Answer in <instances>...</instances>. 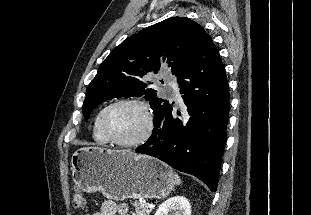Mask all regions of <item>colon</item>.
<instances>
[{
    "instance_id": "1",
    "label": "colon",
    "mask_w": 311,
    "mask_h": 215,
    "mask_svg": "<svg viewBox=\"0 0 311 215\" xmlns=\"http://www.w3.org/2000/svg\"><path fill=\"white\" fill-rule=\"evenodd\" d=\"M72 203L75 208H83L86 203L84 194L80 191H75L73 194Z\"/></svg>"
}]
</instances>
